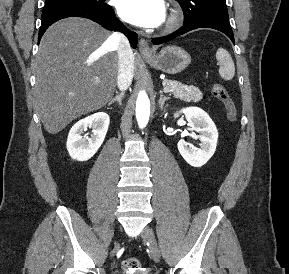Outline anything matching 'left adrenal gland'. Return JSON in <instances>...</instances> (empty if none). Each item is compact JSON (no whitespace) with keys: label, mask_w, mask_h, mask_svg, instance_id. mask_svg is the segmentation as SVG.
Here are the masks:
<instances>
[{"label":"left adrenal gland","mask_w":289,"mask_h":274,"mask_svg":"<svg viewBox=\"0 0 289 274\" xmlns=\"http://www.w3.org/2000/svg\"><path fill=\"white\" fill-rule=\"evenodd\" d=\"M170 97H167L163 94V91H160V98H159V108L162 110L164 107V104L167 100H169Z\"/></svg>","instance_id":"obj_1"}]
</instances>
